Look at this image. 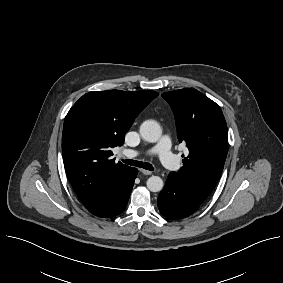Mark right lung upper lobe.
<instances>
[{"instance_id": "1", "label": "right lung upper lobe", "mask_w": 283, "mask_h": 283, "mask_svg": "<svg viewBox=\"0 0 283 283\" xmlns=\"http://www.w3.org/2000/svg\"><path fill=\"white\" fill-rule=\"evenodd\" d=\"M157 96L155 91L89 92L66 115L62 134L64 167L89 212L101 208L113 183L132 169L115 163L112 148L123 144L135 118Z\"/></svg>"}]
</instances>
